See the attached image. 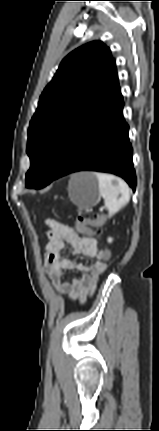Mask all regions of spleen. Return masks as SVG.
<instances>
[{
  "label": "spleen",
  "mask_w": 159,
  "mask_h": 431,
  "mask_svg": "<svg viewBox=\"0 0 159 431\" xmlns=\"http://www.w3.org/2000/svg\"><path fill=\"white\" fill-rule=\"evenodd\" d=\"M94 174L99 182V192L104 199V205L108 209V217L111 218L129 202L130 190L121 178L104 173Z\"/></svg>",
  "instance_id": "spleen-1"
}]
</instances>
